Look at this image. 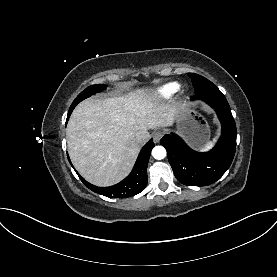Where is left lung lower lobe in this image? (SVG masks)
I'll return each mask as SVG.
<instances>
[{"label": "left lung lower lobe", "mask_w": 277, "mask_h": 277, "mask_svg": "<svg viewBox=\"0 0 277 277\" xmlns=\"http://www.w3.org/2000/svg\"><path fill=\"white\" fill-rule=\"evenodd\" d=\"M203 100L217 113L221 137L209 152L189 148L176 134H167L160 143L167 150L175 177L184 185L205 186L216 182L230 167L236 150V125L229 104L220 90L196 93L191 100Z\"/></svg>", "instance_id": "obj_1"}]
</instances>
